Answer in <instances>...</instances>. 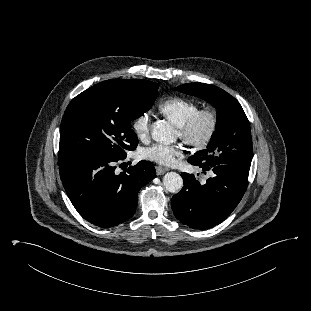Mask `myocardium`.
I'll list each match as a JSON object with an SVG mask.
<instances>
[{"label": "myocardium", "instance_id": "f54148a6", "mask_svg": "<svg viewBox=\"0 0 311 311\" xmlns=\"http://www.w3.org/2000/svg\"><path fill=\"white\" fill-rule=\"evenodd\" d=\"M205 123V129L199 133V127ZM219 127V114L214 108H203L192 114L178 127L181 140L196 149L206 147L215 137Z\"/></svg>", "mask_w": 311, "mask_h": 311}]
</instances>
